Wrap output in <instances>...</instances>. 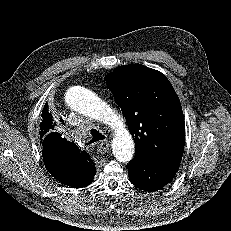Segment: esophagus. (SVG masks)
Instances as JSON below:
<instances>
[{
	"label": "esophagus",
	"instance_id": "1",
	"mask_svg": "<svg viewBox=\"0 0 231 231\" xmlns=\"http://www.w3.org/2000/svg\"><path fill=\"white\" fill-rule=\"evenodd\" d=\"M110 148V142L109 141H100L97 144V151L99 153H106Z\"/></svg>",
	"mask_w": 231,
	"mask_h": 231
}]
</instances>
